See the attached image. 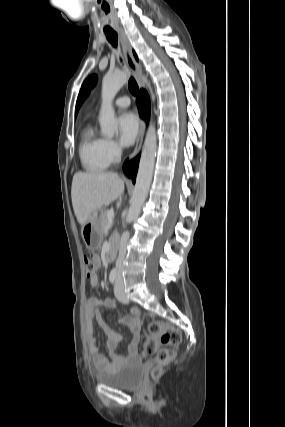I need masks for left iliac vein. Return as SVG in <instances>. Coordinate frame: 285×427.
Masks as SVG:
<instances>
[{"label": "left iliac vein", "mask_w": 285, "mask_h": 427, "mask_svg": "<svg viewBox=\"0 0 285 427\" xmlns=\"http://www.w3.org/2000/svg\"><path fill=\"white\" fill-rule=\"evenodd\" d=\"M114 293L116 298L118 299V301H120L121 303H128V298L125 294L124 291V282H123V278L121 275L117 276V280H116V284H115V288H114Z\"/></svg>", "instance_id": "1"}]
</instances>
